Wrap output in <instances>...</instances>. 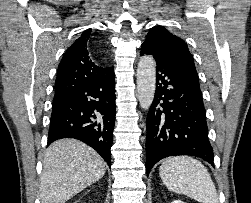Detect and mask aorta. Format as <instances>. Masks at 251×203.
<instances>
[{"label":"aorta","mask_w":251,"mask_h":203,"mask_svg":"<svg viewBox=\"0 0 251 203\" xmlns=\"http://www.w3.org/2000/svg\"><path fill=\"white\" fill-rule=\"evenodd\" d=\"M156 89V63L152 56L144 55L140 58L137 67V94L140 106L150 108Z\"/></svg>","instance_id":"762f6f07"}]
</instances>
